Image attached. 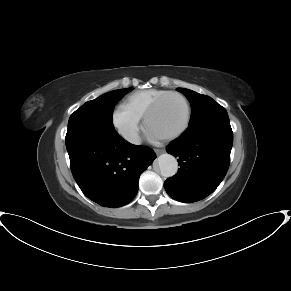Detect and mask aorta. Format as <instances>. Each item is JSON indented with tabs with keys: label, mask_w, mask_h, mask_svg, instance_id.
Returning <instances> with one entry per match:
<instances>
[{
	"label": "aorta",
	"mask_w": 291,
	"mask_h": 291,
	"mask_svg": "<svg viewBox=\"0 0 291 291\" xmlns=\"http://www.w3.org/2000/svg\"><path fill=\"white\" fill-rule=\"evenodd\" d=\"M160 173L164 177H172L178 171V162L171 154H162L157 159Z\"/></svg>",
	"instance_id": "762f6f07"
}]
</instances>
